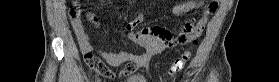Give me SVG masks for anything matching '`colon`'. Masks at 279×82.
Segmentation results:
<instances>
[{"label":"colon","instance_id":"colon-1","mask_svg":"<svg viewBox=\"0 0 279 82\" xmlns=\"http://www.w3.org/2000/svg\"><path fill=\"white\" fill-rule=\"evenodd\" d=\"M218 1H209V4H217ZM79 16V13L76 10H71L70 11V20L73 21ZM88 19L92 23H96L97 20L95 16L91 13L88 14ZM191 57V50L186 49L179 57H177L174 61V64L171 67V72L176 73L184 69V67L187 65ZM101 68H103L102 65H100Z\"/></svg>","mask_w":279,"mask_h":82}]
</instances>
